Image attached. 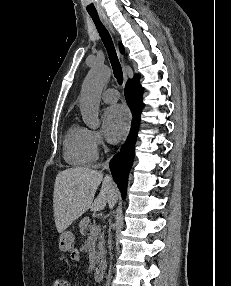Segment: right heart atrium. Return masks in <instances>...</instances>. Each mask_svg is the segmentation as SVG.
Segmentation results:
<instances>
[{
  "label": "right heart atrium",
  "mask_w": 231,
  "mask_h": 286,
  "mask_svg": "<svg viewBox=\"0 0 231 286\" xmlns=\"http://www.w3.org/2000/svg\"><path fill=\"white\" fill-rule=\"evenodd\" d=\"M90 134H91L92 143H93V145L95 146L96 149L98 147L103 146V139H102V136H101L99 131L91 130Z\"/></svg>",
  "instance_id": "obj_1"
}]
</instances>
